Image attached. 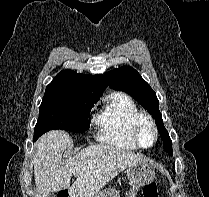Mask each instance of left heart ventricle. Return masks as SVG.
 Listing matches in <instances>:
<instances>
[{
    "label": "left heart ventricle",
    "instance_id": "left-heart-ventricle-1",
    "mask_svg": "<svg viewBox=\"0 0 209 197\" xmlns=\"http://www.w3.org/2000/svg\"><path fill=\"white\" fill-rule=\"evenodd\" d=\"M139 136L141 143L145 146L151 145L154 139V132L150 124L142 121L139 127Z\"/></svg>",
    "mask_w": 209,
    "mask_h": 197
}]
</instances>
